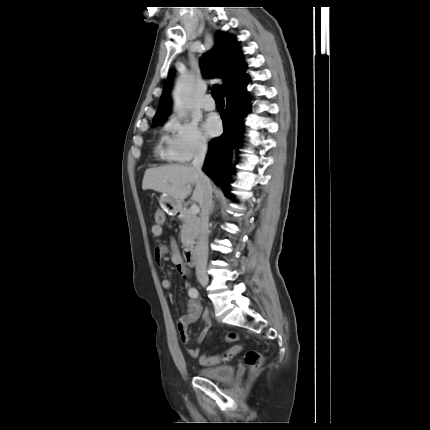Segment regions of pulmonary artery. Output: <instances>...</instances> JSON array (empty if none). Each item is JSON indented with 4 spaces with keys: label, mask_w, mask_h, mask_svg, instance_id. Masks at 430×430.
I'll return each instance as SVG.
<instances>
[{
    "label": "pulmonary artery",
    "mask_w": 430,
    "mask_h": 430,
    "mask_svg": "<svg viewBox=\"0 0 430 430\" xmlns=\"http://www.w3.org/2000/svg\"><path fill=\"white\" fill-rule=\"evenodd\" d=\"M203 108L207 111H212L216 108V104L210 95L205 96L203 100Z\"/></svg>",
    "instance_id": "1"
}]
</instances>
